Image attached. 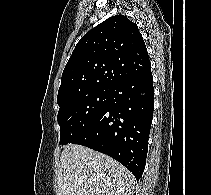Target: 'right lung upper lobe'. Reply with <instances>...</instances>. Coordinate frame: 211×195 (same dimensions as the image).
Segmentation results:
<instances>
[{
    "label": "right lung upper lobe",
    "mask_w": 211,
    "mask_h": 195,
    "mask_svg": "<svg viewBox=\"0 0 211 195\" xmlns=\"http://www.w3.org/2000/svg\"><path fill=\"white\" fill-rule=\"evenodd\" d=\"M151 68L136 23L124 15L108 18L77 43L62 73L57 103L76 94L111 88Z\"/></svg>",
    "instance_id": "obj_1"
}]
</instances>
